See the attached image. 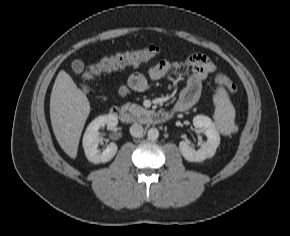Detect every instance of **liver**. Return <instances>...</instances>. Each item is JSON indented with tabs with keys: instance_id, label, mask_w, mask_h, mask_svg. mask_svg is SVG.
Here are the masks:
<instances>
[{
	"instance_id": "1",
	"label": "liver",
	"mask_w": 290,
	"mask_h": 236,
	"mask_svg": "<svg viewBox=\"0 0 290 236\" xmlns=\"http://www.w3.org/2000/svg\"><path fill=\"white\" fill-rule=\"evenodd\" d=\"M90 113V103L85 93L64 70L54 82L50 97V119L54 135L71 158H76L79 140Z\"/></svg>"
}]
</instances>
